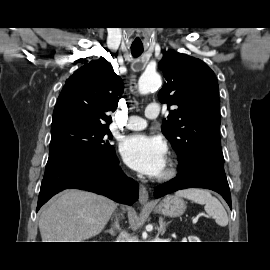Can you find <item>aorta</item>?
<instances>
[{
    "label": "aorta",
    "mask_w": 270,
    "mask_h": 270,
    "mask_svg": "<svg viewBox=\"0 0 270 270\" xmlns=\"http://www.w3.org/2000/svg\"><path fill=\"white\" fill-rule=\"evenodd\" d=\"M161 85V77L157 73H144L138 81L140 94H147Z\"/></svg>",
    "instance_id": "aorta-1"
}]
</instances>
